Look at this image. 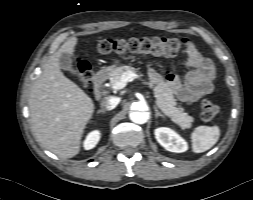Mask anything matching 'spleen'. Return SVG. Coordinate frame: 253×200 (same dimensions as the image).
Here are the masks:
<instances>
[{"mask_svg": "<svg viewBox=\"0 0 253 200\" xmlns=\"http://www.w3.org/2000/svg\"><path fill=\"white\" fill-rule=\"evenodd\" d=\"M220 136V129L217 126H198L192 132V149L195 153H202L213 147Z\"/></svg>", "mask_w": 253, "mask_h": 200, "instance_id": "obj_1", "label": "spleen"}]
</instances>
